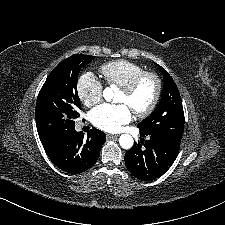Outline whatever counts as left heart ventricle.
Listing matches in <instances>:
<instances>
[{"mask_svg":"<svg viewBox=\"0 0 225 225\" xmlns=\"http://www.w3.org/2000/svg\"><path fill=\"white\" fill-rule=\"evenodd\" d=\"M155 91L154 81L150 78L144 79L131 94H125L120 91L118 96V103L125 104L129 109L140 111L145 109L151 102Z\"/></svg>","mask_w":225,"mask_h":225,"instance_id":"left-heart-ventricle-1","label":"left heart ventricle"}]
</instances>
